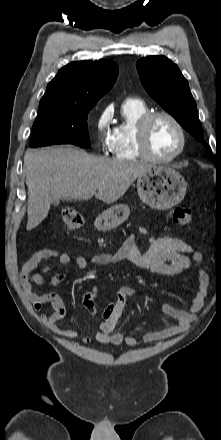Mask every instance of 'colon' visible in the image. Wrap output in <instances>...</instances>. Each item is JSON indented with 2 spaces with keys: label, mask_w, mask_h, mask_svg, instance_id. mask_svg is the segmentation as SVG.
<instances>
[{
  "label": "colon",
  "mask_w": 221,
  "mask_h": 440,
  "mask_svg": "<svg viewBox=\"0 0 221 440\" xmlns=\"http://www.w3.org/2000/svg\"><path fill=\"white\" fill-rule=\"evenodd\" d=\"M171 221L179 226H188L193 220V211L184 206L174 208L170 214ZM63 226L68 231L79 229L83 224L81 214L73 208H65L62 211ZM95 293H87L83 298V306L86 310L92 312L95 306ZM116 306L114 303H105L103 309L100 310L101 318H112Z\"/></svg>",
  "instance_id": "obj_1"
}]
</instances>
